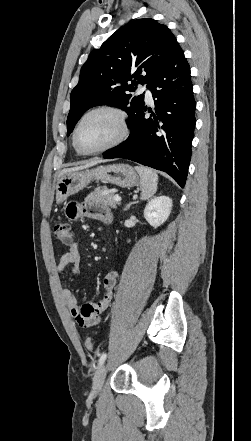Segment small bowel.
<instances>
[{"label":"small bowel","instance_id":"small-bowel-1","mask_svg":"<svg viewBox=\"0 0 251 441\" xmlns=\"http://www.w3.org/2000/svg\"><path fill=\"white\" fill-rule=\"evenodd\" d=\"M66 215L72 220H78L83 217L99 220L105 224H111L113 216L110 210L98 203L70 202L66 207ZM81 255L79 245L76 241L67 244V251L61 256L57 271L64 273L68 266L72 267V273L78 275L80 271ZM117 281V272L110 269L105 272L102 283L105 289L104 296L97 301H88L79 306L78 301L69 288L62 290V297L69 309L71 316L77 324L83 328H89L100 321L101 314L108 308L112 298L113 291Z\"/></svg>","mask_w":251,"mask_h":441}]
</instances>
